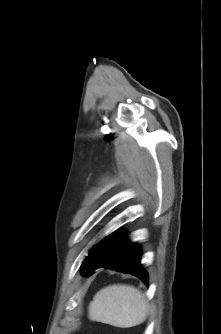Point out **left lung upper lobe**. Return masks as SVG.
Returning a JSON list of instances; mask_svg holds the SVG:
<instances>
[{
	"label": "left lung upper lobe",
	"instance_id": "obj_1",
	"mask_svg": "<svg viewBox=\"0 0 221 334\" xmlns=\"http://www.w3.org/2000/svg\"><path fill=\"white\" fill-rule=\"evenodd\" d=\"M94 249L89 253V257H86V259L84 260L81 268L88 267V266H90L93 263V261H94V258H93Z\"/></svg>",
	"mask_w": 221,
	"mask_h": 334
}]
</instances>
